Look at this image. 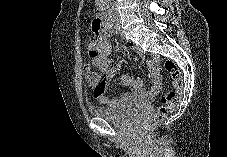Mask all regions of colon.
I'll use <instances>...</instances> for the list:
<instances>
[{"instance_id": "colon-1", "label": "colon", "mask_w": 227, "mask_h": 157, "mask_svg": "<svg viewBox=\"0 0 227 157\" xmlns=\"http://www.w3.org/2000/svg\"><path fill=\"white\" fill-rule=\"evenodd\" d=\"M95 31L98 32V30ZM164 69L171 77L175 91H169L161 98V105L150 119L151 124L161 123L169 113L178 107L180 101L179 94L183 89L182 76L177 65L173 61L167 60L164 62ZM85 78L88 85L92 87L97 86L100 81L99 74L91 68H87Z\"/></svg>"}]
</instances>
